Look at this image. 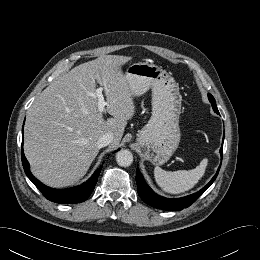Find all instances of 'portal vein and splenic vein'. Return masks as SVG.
<instances>
[{"mask_svg": "<svg viewBox=\"0 0 260 260\" xmlns=\"http://www.w3.org/2000/svg\"><path fill=\"white\" fill-rule=\"evenodd\" d=\"M103 88H97L96 92L92 94V96L96 97L98 99V110L100 113H102L105 109V107L108 105L107 102L104 100L103 94H102Z\"/></svg>", "mask_w": 260, "mask_h": 260, "instance_id": "portal-vein-and-splenic-vein-1", "label": "portal vein and splenic vein"}]
</instances>
